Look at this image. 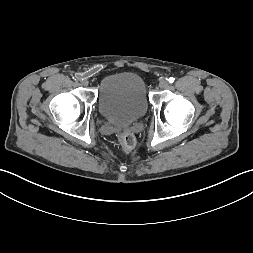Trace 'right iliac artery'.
Here are the masks:
<instances>
[{
  "mask_svg": "<svg viewBox=\"0 0 253 253\" xmlns=\"http://www.w3.org/2000/svg\"><path fill=\"white\" fill-rule=\"evenodd\" d=\"M75 81H79L81 78L78 76L73 77Z\"/></svg>",
  "mask_w": 253,
  "mask_h": 253,
  "instance_id": "right-iliac-artery-1",
  "label": "right iliac artery"
}]
</instances>
